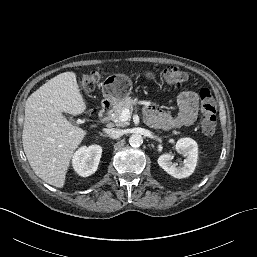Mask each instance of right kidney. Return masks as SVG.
<instances>
[{
	"mask_svg": "<svg viewBox=\"0 0 257 257\" xmlns=\"http://www.w3.org/2000/svg\"><path fill=\"white\" fill-rule=\"evenodd\" d=\"M102 154V147L91 145L81 147L73 156L74 170L82 177H88L96 172Z\"/></svg>",
	"mask_w": 257,
	"mask_h": 257,
	"instance_id": "ca27d5eb",
	"label": "right kidney"
}]
</instances>
